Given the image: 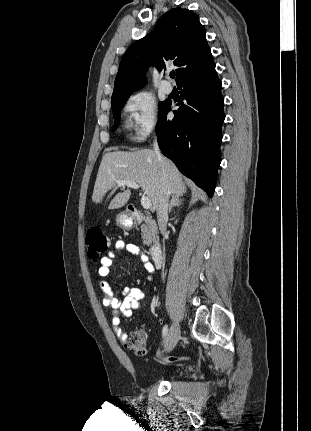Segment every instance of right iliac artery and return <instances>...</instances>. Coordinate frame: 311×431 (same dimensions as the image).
Listing matches in <instances>:
<instances>
[{"instance_id":"right-iliac-artery-1","label":"right iliac artery","mask_w":311,"mask_h":431,"mask_svg":"<svg viewBox=\"0 0 311 431\" xmlns=\"http://www.w3.org/2000/svg\"><path fill=\"white\" fill-rule=\"evenodd\" d=\"M167 334H168V326L165 325L163 327V330H162V336H163V338H165L167 336Z\"/></svg>"}]
</instances>
